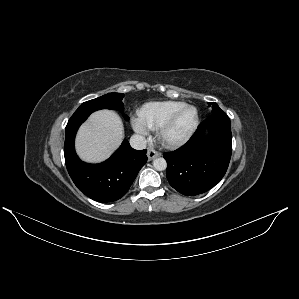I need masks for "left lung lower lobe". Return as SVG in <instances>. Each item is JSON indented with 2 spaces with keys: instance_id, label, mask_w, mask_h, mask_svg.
Returning a JSON list of instances; mask_svg holds the SVG:
<instances>
[{
  "instance_id": "left-lung-lower-lobe-1",
  "label": "left lung lower lobe",
  "mask_w": 299,
  "mask_h": 299,
  "mask_svg": "<svg viewBox=\"0 0 299 299\" xmlns=\"http://www.w3.org/2000/svg\"><path fill=\"white\" fill-rule=\"evenodd\" d=\"M231 153L230 119L225 114H212L185 145L164 153L166 177L174 189L186 196L204 193L223 178Z\"/></svg>"
}]
</instances>
